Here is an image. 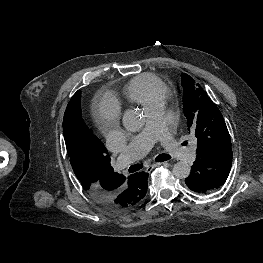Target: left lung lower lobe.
I'll list each match as a JSON object with an SVG mask.
<instances>
[{
  "instance_id": "obj_1",
  "label": "left lung lower lobe",
  "mask_w": 263,
  "mask_h": 263,
  "mask_svg": "<svg viewBox=\"0 0 263 263\" xmlns=\"http://www.w3.org/2000/svg\"><path fill=\"white\" fill-rule=\"evenodd\" d=\"M231 166V147H221L210 153L197 155L185 183L199 194L214 192L226 182Z\"/></svg>"
}]
</instances>
